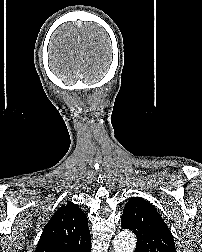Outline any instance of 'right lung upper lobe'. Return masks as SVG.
<instances>
[{"label":"right lung upper lobe","mask_w":202,"mask_h":252,"mask_svg":"<svg viewBox=\"0 0 202 252\" xmlns=\"http://www.w3.org/2000/svg\"><path fill=\"white\" fill-rule=\"evenodd\" d=\"M88 218L78 205H62L44 227L35 252H89Z\"/></svg>","instance_id":"right-lung-upper-lobe-1"}]
</instances>
